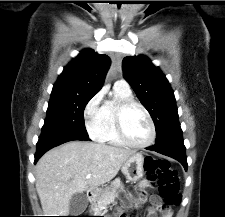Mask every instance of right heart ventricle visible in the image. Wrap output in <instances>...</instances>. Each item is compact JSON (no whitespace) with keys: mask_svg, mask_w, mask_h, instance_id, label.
Wrapping results in <instances>:
<instances>
[{"mask_svg":"<svg viewBox=\"0 0 225 217\" xmlns=\"http://www.w3.org/2000/svg\"><path fill=\"white\" fill-rule=\"evenodd\" d=\"M117 98L106 101L102 106V133L98 140L114 147H122L124 144L119 139L116 129L115 108L119 101L132 98V93L115 88Z\"/></svg>","mask_w":225,"mask_h":217,"instance_id":"1","label":"right heart ventricle"}]
</instances>
